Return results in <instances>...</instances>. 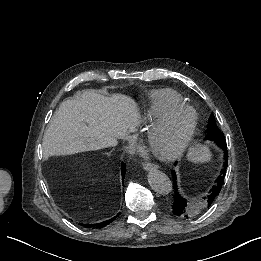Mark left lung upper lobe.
I'll return each mask as SVG.
<instances>
[{"mask_svg":"<svg viewBox=\"0 0 261 261\" xmlns=\"http://www.w3.org/2000/svg\"><path fill=\"white\" fill-rule=\"evenodd\" d=\"M207 130H208V133L205 137L206 140L216 143L221 148L226 146V140H225L224 134L216 126L215 117L213 114L209 118Z\"/></svg>","mask_w":261,"mask_h":261,"instance_id":"obj_1","label":"left lung upper lobe"}]
</instances>
